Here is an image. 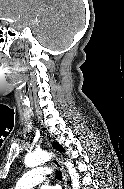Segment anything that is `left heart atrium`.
Here are the masks:
<instances>
[{
	"mask_svg": "<svg viewBox=\"0 0 124 189\" xmlns=\"http://www.w3.org/2000/svg\"><path fill=\"white\" fill-rule=\"evenodd\" d=\"M41 189H56L55 187H52V186H44L42 187Z\"/></svg>",
	"mask_w": 124,
	"mask_h": 189,
	"instance_id": "left-heart-atrium-1",
	"label": "left heart atrium"
}]
</instances>
